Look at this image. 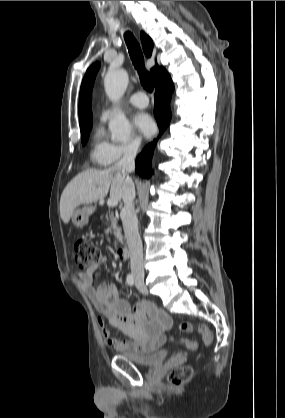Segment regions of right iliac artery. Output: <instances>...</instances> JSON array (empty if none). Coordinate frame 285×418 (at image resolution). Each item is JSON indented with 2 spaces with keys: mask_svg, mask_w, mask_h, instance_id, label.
I'll return each instance as SVG.
<instances>
[{
  "mask_svg": "<svg viewBox=\"0 0 285 418\" xmlns=\"http://www.w3.org/2000/svg\"><path fill=\"white\" fill-rule=\"evenodd\" d=\"M126 281H127V283L130 286H133L134 285V277H133V275L132 274H128L127 277H126Z\"/></svg>",
  "mask_w": 285,
  "mask_h": 418,
  "instance_id": "82829eb1",
  "label": "right iliac artery"
}]
</instances>
